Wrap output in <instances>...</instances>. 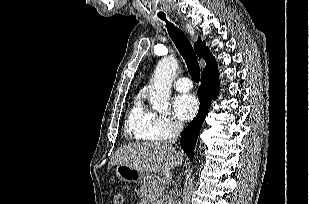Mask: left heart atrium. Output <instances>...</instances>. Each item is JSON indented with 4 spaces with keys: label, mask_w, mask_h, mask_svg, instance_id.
<instances>
[{
    "label": "left heart atrium",
    "mask_w": 309,
    "mask_h": 204,
    "mask_svg": "<svg viewBox=\"0 0 309 204\" xmlns=\"http://www.w3.org/2000/svg\"><path fill=\"white\" fill-rule=\"evenodd\" d=\"M173 104L176 115L183 121L191 119L198 110V101L192 94L176 96Z\"/></svg>",
    "instance_id": "1"
}]
</instances>
